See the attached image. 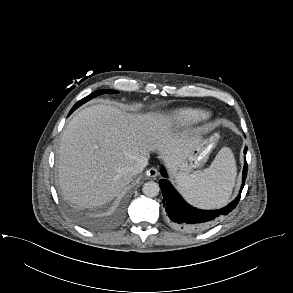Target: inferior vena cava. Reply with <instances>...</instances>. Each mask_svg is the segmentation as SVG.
<instances>
[{"label": "inferior vena cava", "instance_id": "inferior-vena-cava-1", "mask_svg": "<svg viewBox=\"0 0 293 293\" xmlns=\"http://www.w3.org/2000/svg\"><path fill=\"white\" fill-rule=\"evenodd\" d=\"M148 164V159L147 158H142L138 160L137 162L133 163L130 167V172L133 175L139 174L143 171L145 166Z\"/></svg>", "mask_w": 293, "mask_h": 293}]
</instances>
